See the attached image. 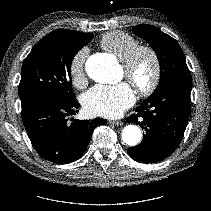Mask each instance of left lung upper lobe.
<instances>
[{"mask_svg":"<svg viewBox=\"0 0 211 211\" xmlns=\"http://www.w3.org/2000/svg\"><path fill=\"white\" fill-rule=\"evenodd\" d=\"M132 30L151 45L159 60L160 80L153 94L172 81L191 78L183 51L174 38L148 24L135 26Z\"/></svg>","mask_w":211,"mask_h":211,"instance_id":"obj_1","label":"left lung upper lobe"}]
</instances>
